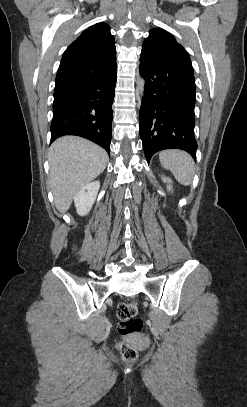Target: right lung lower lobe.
<instances>
[{"label":"right lung lower lobe","instance_id":"right-lung-lower-lobe-1","mask_svg":"<svg viewBox=\"0 0 247 407\" xmlns=\"http://www.w3.org/2000/svg\"><path fill=\"white\" fill-rule=\"evenodd\" d=\"M116 75L114 60L93 69L81 81L54 90L51 143L64 135H76L110 154Z\"/></svg>","mask_w":247,"mask_h":407}]
</instances>
